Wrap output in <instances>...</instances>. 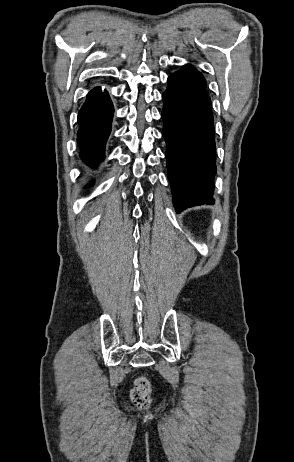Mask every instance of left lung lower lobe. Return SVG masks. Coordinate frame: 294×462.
I'll return each instance as SVG.
<instances>
[{
    "label": "left lung lower lobe",
    "mask_w": 294,
    "mask_h": 462,
    "mask_svg": "<svg viewBox=\"0 0 294 462\" xmlns=\"http://www.w3.org/2000/svg\"><path fill=\"white\" fill-rule=\"evenodd\" d=\"M162 98V135L167 143L168 177L177 212L214 204L215 134L204 76L191 65L167 79Z\"/></svg>",
    "instance_id": "0a47b994"
}]
</instances>
